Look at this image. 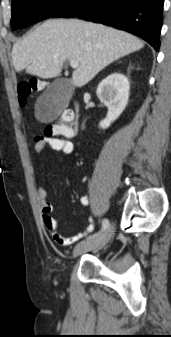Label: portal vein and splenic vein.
<instances>
[{"mask_svg": "<svg viewBox=\"0 0 171 337\" xmlns=\"http://www.w3.org/2000/svg\"><path fill=\"white\" fill-rule=\"evenodd\" d=\"M70 66H71L72 68L76 69V68L79 66V63H78V61H76V60H71V61H70Z\"/></svg>", "mask_w": 171, "mask_h": 337, "instance_id": "obj_1", "label": "portal vein and splenic vein"}]
</instances>
